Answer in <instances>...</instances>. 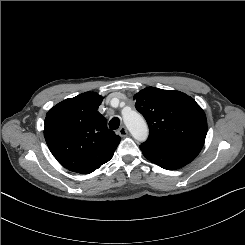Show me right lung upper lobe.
Here are the masks:
<instances>
[{"instance_id": "right-lung-upper-lobe-1", "label": "right lung upper lobe", "mask_w": 245, "mask_h": 245, "mask_svg": "<svg viewBox=\"0 0 245 245\" xmlns=\"http://www.w3.org/2000/svg\"><path fill=\"white\" fill-rule=\"evenodd\" d=\"M102 99L98 93L85 92L58 103L46 114V143L56 160L70 171H95L112 158L121 140L97 111Z\"/></svg>"}]
</instances>
